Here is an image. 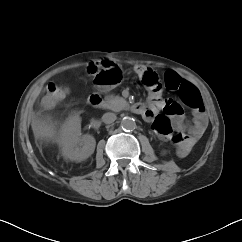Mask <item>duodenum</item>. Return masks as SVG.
Listing matches in <instances>:
<instances>
[{
    "label": "duodenum",
    "mask_w": 242,
    "mask_h": 242,
    "mask_svg": "<svg viewBox=\"0 0 242 242\" xmlns=\"http://www.w3.org/2000/svg\"><path fill=\"white\" fill-rule=\"evenodd\" d=\"M89 104L96 108L106 107V101L99 92H94L88 97ZM129 110L135 114L143 115L146 112V106L141 103H135L129 106Z\"/></svg>",
    "instance_id": "410a0bca"
}]
</instances>
